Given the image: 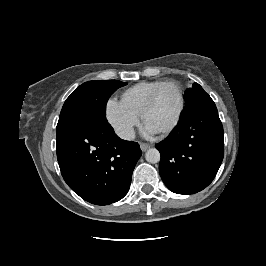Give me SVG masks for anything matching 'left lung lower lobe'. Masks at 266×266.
<instances>
[{"instance_id":"left-lung-lower-lobe-1","label":"left lung lower lobe","mask_w":266,"mask_h":266,"mask_svg":"<svg viewBox=\"0 0 266 266\" xmlns=\"http://www.w3.org/2000/svg\"><path fill=\"white\" fill-rule=\"evenodd\" d=\"M155 146L161 154L160 176L169 190L193 194L206 188L224 156L223 126L211 97L186 108L179 125Z\"/></svg>"}]
</instances>
